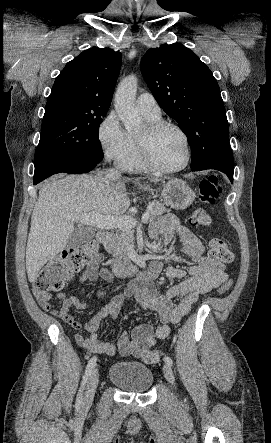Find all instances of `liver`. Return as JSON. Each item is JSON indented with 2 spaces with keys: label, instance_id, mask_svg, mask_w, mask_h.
<instances>
[{
  "label": "liver",
  "instance_id": "obj_1",
  "mask_svg": "<svg viewBox=\"0 0 271 443\" xmlns=\"http://www.w3.org/2000/svg\"><path fill=\"white\" fill-rule=\"evenodd\" d=\"M131 180V178H125ZM150 182H160L152 178ZM130 206L122 178L97 176H53L39 192L31 216L26 247V269L29 281H35L41 267L66 247L78 214L98 212L101 216L124 214Z\"/></svg>",
  "mask_w": 271,
  "mask_h": 443
}]
</instances>
